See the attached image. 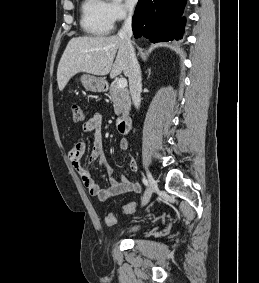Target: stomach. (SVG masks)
Returning <instances> with one entry per match:
<instances>
[{
  "label": "stomach",
  "instance_id": "0dacf381",
  "mask_svg": "<svg viewBox=\"0 0 259 283\" xmlns=\"http://www.w3.org/2000/svg\"><path fill=\"white\" fill-rule=\"evenodd\" d=\"M80 81L84 88L91 92H104L107 84L103 78L84 74L80 77Z\"/></svg>",
  "mask_w": 259,
  "mask_h": 283
}]
</instances>
